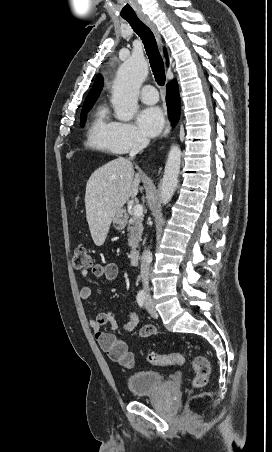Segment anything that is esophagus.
<instances>
[{
    "mask_svg": "<svg viewBox=\"0 0 272 452\" xmlns=\"http://www.w3.org/2000/svg\"><path fill=\"white\" fill-rule=\"evenodd\" d=\"M139 18L152 30L158 44L161 46L162 40L156 25L144 14L139 15ZM170 129H171L170 122L169 120H167L165 129L162 134V138L166 137L169 134Z\"/></svg>",
    "mask_w": 272,
    "mask_h": 452,
    "instance_id": "esophagus-1",
    "label": "esophagus"
}]
</instances>
